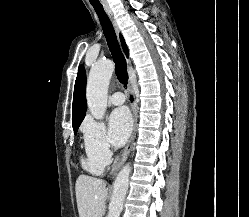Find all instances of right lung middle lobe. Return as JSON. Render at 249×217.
I'll use <instances>...</instances> for the list:
<instances>
[{"instance_id": "dd1d6c3e", "label": "right lung middle lobe", "mask_w": 249, "mask_h": 217, "mask_svg": "<svg viewBox=\"0 0 249 217\" xmlns=\"http://www.w3.org/2000/svg\"><path fill=\"white\" fill-rule=\"evenodd\" d=\"M78 127H79V125H77V126H74V127H73L74 134H76V133H77Z\"/></svg>"}]
</instances>
